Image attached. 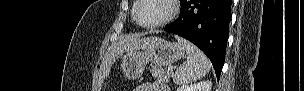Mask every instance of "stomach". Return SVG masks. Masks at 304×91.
Here are the masks:
<instances>
[{
    "label": "stomach",
    "mask_w": 304,
    "mask_h": 91,
    "mask_svg": "<svg viewBox=\"0 0 304 91\" xmlns=\"http://www.w3.org/2000/svg\"><path fill=\"white\" fill-rule=\"evenodd\" d=\"M184 56V49L175 42L160 38H150L145 48L127 51L121 59V69L128 79L139 78L147 63L162 68L178 61Z\"/></svg>",
    "instance_id": "obj_1"
}]
</instances>
